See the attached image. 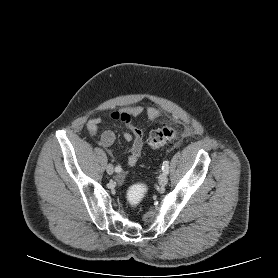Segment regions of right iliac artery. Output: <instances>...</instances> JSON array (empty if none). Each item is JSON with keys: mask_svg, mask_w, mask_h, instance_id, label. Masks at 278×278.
I'll return each instance as SVG.
<instances>
[{"mask_svg": "<svg viewBox=\"0 0 278 278\" xmlns=\"http://www.w3.org/2000/svg\"><path fill=\"white\" fill-rule=\"evenodd\" d=\"M121 170H122V168H121L120 166H116V167H115V171H116V172H121Z\"/></svg>", "mask_w": 278, "mask_h": 278, "instance_id": "obj_1", "label": "right iliac artery"}]
</instances>
